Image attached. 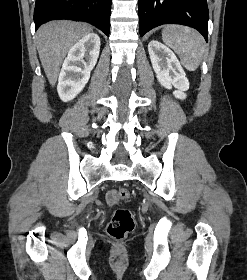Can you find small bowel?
Returning <instances> with one entry per match:
<instances>
[{"mask_svg": "<svg viewBox=\"0 0 247 280\" xmlns=\"http://www.w3.org/2000/svg\"><path fill=\"white\" fill-rule=\"evenodd\" d=\"M106 199H107V202L109 204H114L116 202L115 198H114V190L112 191H109L106 195Z\"/></svg>", "mask_w": 247, "mask_h": 280, "instance_id": "obj_1", "label": "small bowel"}]
</instances>
